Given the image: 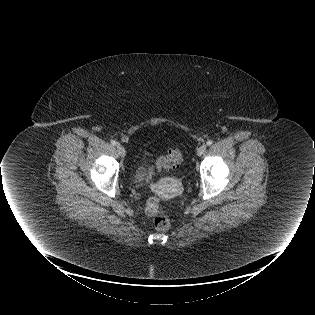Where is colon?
<instances>
[{
  "instance_id": "5ec220e1",
  "label": "colon",
  "mask_w": 315,
  "mask_h": 315,
  "mask_svg": "<svg viewBox=\"0 0 315 315\" xmlns=\"http://www.w3.org/2000/svg\"><path fill=\"white\" fill-rule=\"evenodd\" d=\"M182 158V153L179 149H171L165 157H161L157 163L159 168L169 169L178 166ZM146 211L153 217V224L159 231H166L170 227V219L168 215L159 209L158 200L150 198L147 201Z\"/></svg>"
}]
</instances>
